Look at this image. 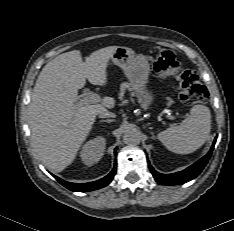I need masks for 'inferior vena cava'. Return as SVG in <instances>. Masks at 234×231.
<instances>
[{"label":"inferior vena cava","mask_w":234,"mask_h":231,"mask_svg":"<svg viewBox=\"0 0 234 231\" xmlns=\"http://www.w3.org/2000/svg\"><path fill=\"white\" fill-rule=\"evenodd\" d=\"M116 115L112 112H109L108 110L101 111L99 113L100 118H106V117H111L114 118Z\"/></svg>","instance_id":"obj_1"}]
</instances>
